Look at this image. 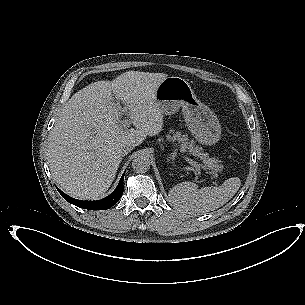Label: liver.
Masks as SVG:
<instances>
[{
	"instance_id": "6515ba94",
	"label": "liver",
	"mask_w": 305,
	"mask_h": 305,
	"mask_svg": "<svg viewBox=\"0 0 305 305\" xmlns=\"http://www.w3.org/2000/svg\"><path fill=\"white\" fill-rule=\"evenodd\" d=\"M120 79L97 81L76 92L63 107L48 140L51 175L67 194L86 200L102 197L111 186L124 154L121 144L140 145L162 131L163 113L155 90ZM129 116L136 129L120 125Z\"/></svg>"
}]
</instances>
